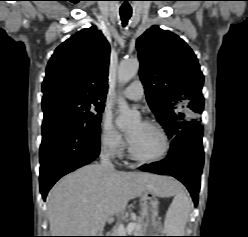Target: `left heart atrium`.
<instances>
[{
  "mask_svg": "<svg viewBox=\"0 0 248 237\" xmlns=\"http://www.w3.org/2000/svg\"><path fill=\"white\" fill-rule=\"evenodd\" d=\"M134 135H135V131L128 132L127 138L129 140V142H131L133 140Z\"/></svg>",
  "mask_w": 248,
  "mask_h": 237,
  "instance_id": "left-heart-atrium-1",
  "label": "left heart atrium"
}]
</instances>
